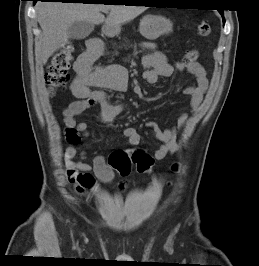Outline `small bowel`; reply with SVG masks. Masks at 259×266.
<instances>
[{
    "label": "small bowel",
    "instance_id": "obj_1",
    "mask_svg": "<svg viewBox=\"0 0 259 266\" xmlns=\"http://www.w3.org/2000/svg\"><path fill=\"white\" fill-rule=\"evenodd\" d=\"M96 46L98 50L94 49ZM102 53V45L97 41H93L90 43L88 50L78 57L74 64L75 78L70 87L71 94L76 100L70 102L63 111L65 125L85 137L89 135L88 124L76 121V117L83 111L99 104L100 120L109 124L124 109L122 104L111 103L104 89L116 91L126 89L127 71L124 67L117 65L96 67L94 63ZM142 64L146 68L143 77L150 84L155 83L160 77H170L175 70L188 71L193 74L196 82L194 85L187 86L184 93L190 97V111L194 113L198 110L208 88L205 69L199 62L195 61L189 64L176 62L172 65L162 52L153 51L143 55ZM187 118V113L183 112L177 119L176 127L165 129L161 128L155 121L146 123V126L155 133L157 140L160 142V146L151 157L154 161L162 160L178 150L176 130H180L185 125ZM122 134L131 145H138L142 141L141 135L134 128H124ZM66 155L72 159L76 155L75 148L68 147ZM67 176L77 193L86 195L88 191L98 188V181L110 183L114 178V168L102 155L95 156L90 164L87 162L86 153L82 152L81 160L70 164ZM124 186V184L120 185L121 188H124Z\"/></svg>",
    "mask_w": 259,
    "mask_h": 266
}]
</instances>
